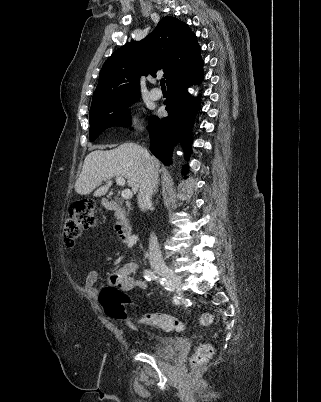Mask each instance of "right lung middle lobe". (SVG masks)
<instances>
[{"mask_svg":"<svg viewBox=\"0 0 321 402\" xmlns=\"http://www.w3.org/2000/svg\"><path fill=\"white\" fill-rule=\"evenodd\" d=\"M140 99V94L126 96L110 103L91 107L90 109V141H94L105 129L112 126L129 127L130 115L126 110L129 104Z\"/></svg>","mask_w":321,"mask_h":402,"instance_id":"dd1d6c3e","label":"right lung middle lobe"}]
</instances>
